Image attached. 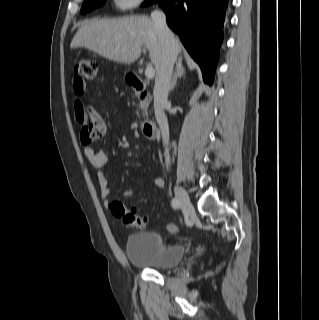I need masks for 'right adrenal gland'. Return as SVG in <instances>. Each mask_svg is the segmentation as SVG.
<instances>
[{
  "label": "right adrenal gland",
  "instance_id": "obj_1",
  "mask_svg": "<svg viewBox=\"0 0 319 320\" xmlns=\"http://www.w3.org/2000/svg\"><path fill=\"white\" fill-rule=\"evenodd\" d=\"M185 68L182 65V57L178 58V61L176 63V72L172 77L171 83H170V90H173L176 86L177 79L185 75Z\"/></svg>",
  "mask_w": 319,
  "mask_h": 320
}]
</instances>
